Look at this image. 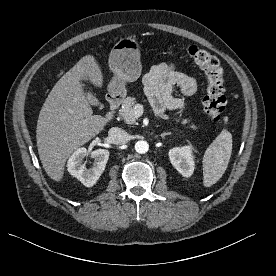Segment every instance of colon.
Listing matches in <instances>:
<instances>
[{"instance_id":"5ec220e1","label":"colon","mask_w":276,"mask_h":276,"mask_svg":"<svg viewBox=\"0 0 276 276\" xmlns=\"http://www.w3.org/2000/svg\"><path fill=\"white\" fill-rule=\"evenodd\" d=\"M186 52L205 72L207 88L202 103L208 119L217 122L222 118L226 106L224 76L220 63L215 56L196 45L187 46Z\"/></svg>"}]
</instances>
